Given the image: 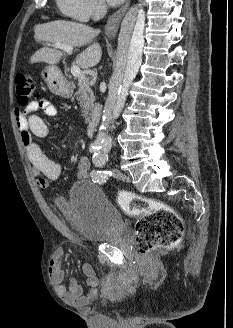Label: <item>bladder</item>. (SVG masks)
<instances>
[{
	"mask_svg": "<svg viewBox=\"0 0 233 328\" xmlns=\"http://www.w3.org/2000/svg\"><path fill=\"white\" fill-rule=\"evenodd\" d=\"M63 217L86 240L101 242L123 229L118 209L91 181L75 182L68 195L57 200Z\"/></svg>",
	"mask_w": 233,
	"mask_h": 328,
	"instance_id": "bladder-1",
	"label": "bladder"
}]
</instances>
